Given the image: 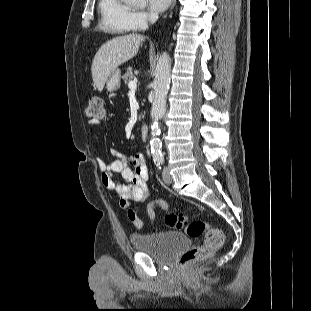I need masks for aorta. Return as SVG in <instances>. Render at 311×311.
Returning a JSON list of instances; mask_svg holds the SVG:
<instances>
[{
	"label": "aorta",
	"instance_id": "aorta-1",
	"mask_svg": "<svg viewBox=\"0 0 311 311\" xmlns=\"http://www.w3.org/2000/svg\"><path fill=\"white\" fill-rule=\"evenodd\" d=\"M127 4L141 6L145 0H123ZM171 59L169 55L164 52L160 55L154 80V99L150 116L152 119L150 147L154 159L162 157V142L159 138L161 128L159 121L166 112V95L170 85Z\"/></svg>",
	"mask_w": 311,
	"mask_h": 311
}]
</instances>
